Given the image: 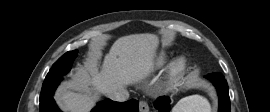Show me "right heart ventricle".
Masks as SVG:
<instances>
[{"label": "right heart ventricle", "instance_id": "right-heart-ventricle-1", "mask_svg": "<svg viewBox=\"0 0 270 112\" xmlns=\"http://www.w3.org/2000/svg\"><path fill=\"white\" fill-rule=\"evenodd\" d=\"M166 56L164 54L159 55L151 64L149 71L159 68L165 63Z\"/></svg>", "mask_w": 270, "mask_h": 112}]
</instances>
